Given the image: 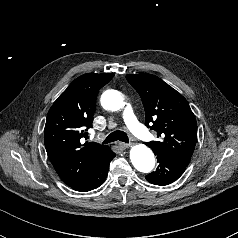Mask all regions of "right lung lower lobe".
Listing matches in <instances>:
<instances>
[{
  "label": "right lung lower lobe",
  "instance_id": "1",
  "mask_svg": "<svg viewBox=\"0 0 238 238\" xmlns=\"http://www.w3.org/2000/svg\"><path fill=\"white\" fill-rule=\"evenodd\" d=\"M114 157L115 153L111 151L91 172L68 186L79 192H86L98 188L105 181L108 174L109 163Z\"/></svg>",
  "mask_w": 238,
  "mask_h": 238
}]
</instances>
